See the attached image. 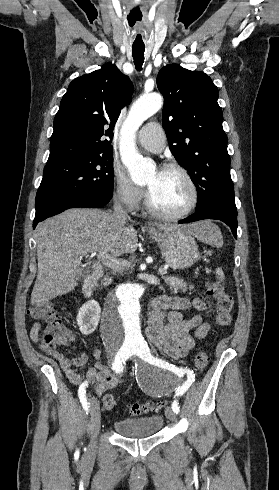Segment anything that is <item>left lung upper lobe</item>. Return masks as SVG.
Instances as JSON below:
<instances>
[{"label": "left lung upper lobe", "instance_id": "1", "mask_svg": "<svg viewBox=\"0 0 279 490\" xmlns=\"http://www.w3.org/2000/svg\"><path fill=\"white\" fill-rule=\"evenodd\" d=\"M157 85L170 150L197 188L196 211L217 205L237 212L217 87L205 73L176 64L159 71Z\"/></svg>", "mask_w": 279, "mask_h": 490}]
</instances>
